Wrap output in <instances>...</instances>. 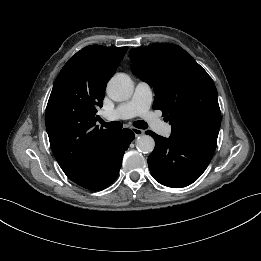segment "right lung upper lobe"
<instances>
[{
  "mask_svg": "<svg viewBox=\"0 0 261 261\" xmlns=\"http://www.w3.org/2000/svg\"><path fill=\"white\" fill-rule=\"evenodd\" d=\"M127 50L87 46L65 64L55 80L45 123L53 154L71 180L98 160L115 132L99 128L96 113L102 106L107 82Z\"/></svg>",
  "mask_w": 261,
  "mask_h": 261,
  "instance_id": "cb5924a9",
  "label": "right lung upper lobe"
}]
</instances>
